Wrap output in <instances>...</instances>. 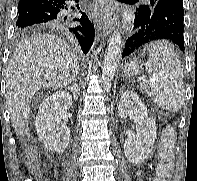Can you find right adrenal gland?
Wrapping results in <instances>:
<instances>
[{"label": "right adrenal gland", "mask_w": 197, "mask_h": 181, "mask_svg": "<svg viewBox=\"0 0 197 181\" xmlns=\"http://www.w3.org/2000/svg\"><path fill=\"white\" fill-rule=\"evenodd\" d=\"M68 90L73 94L74 100L77 101V95L79 94L80 89L79 86L76 84V79H73L72 84L68 86Z\"/></svg>", "instance_id": "right-adrenal-gland-1"}]
</instances>
